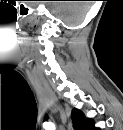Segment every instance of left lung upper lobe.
<instances>
[{"label": "left lung upper lobe", "instance_id": "obj_1", "mask_svg": "<svg viewBox=\"0 0 123 130\" xmlns=\"http://www.w3.org/2000/svg\"><path fill=\"white\" fill-rule=\"evenodd\" d=\"M71 118L73 127L76 130H97V128L94 127L93 122L87 119L84 114L78 109L72 110Z\"/></svg>", "mask_w": 123, "mask_h": 130}]
</instances>
